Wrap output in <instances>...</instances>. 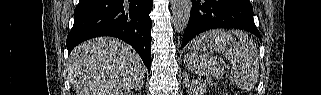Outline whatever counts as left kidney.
I'll list each match as a JSON object with an SVG mask.
<instances>
[{
    "instance_id": "obj_1",
    "label": "left kidney",
    "mask_w": 321,
    "mask_h": 95,
    "mask_svg": "<svg viewBox=\"0 0 321 95\" xmlns=\"http://www.w3.org/2000/svg\"><path fill=\"white\" fill-rule=\"evenodd\" d=\"M204 91H205L204 87H195L192 90L193 95H201Z\"/></svg>"
}]
</instances>
